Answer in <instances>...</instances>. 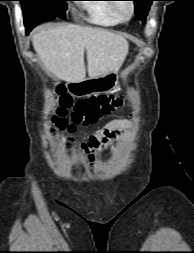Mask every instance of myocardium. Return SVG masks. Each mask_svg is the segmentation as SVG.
<instances>
[{
    "label": "myocardium",
    "instance_id": "1",
    "mask_svg": "<svg viewBox=\"0 0 194 253\" xmlns=\"http://www.w3.org/2000/svg\"><path fill=\"white\" fill-rule=\"evenodd\" d=\"M114 1H116V0H114ZM129 2L131 4V11H130V13H129L128 16H124L123 13L121 12V10L119 8V2H112L113 10H114L116 16L122 22L129 21L134 16V14H135V10H136L135 3L133 1H129Z\"/></svg>",
    "mask_w": 194,
    "mask_h": 253
}]
</instances>
